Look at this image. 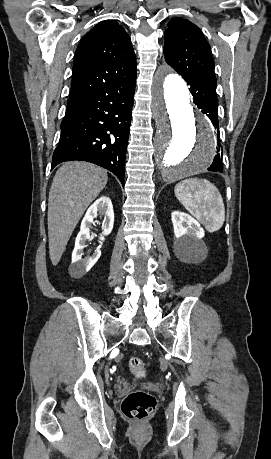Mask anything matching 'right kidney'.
Returning <instances> with one entry per match:
<instances>
[{"mask_svg":"<svg viewBox=\"0 0 271 459\" xmlns=\"http://www.w3.org/2000/svg\"><path fill=\"white\" fill-rule=\"evenodd\" d=\"M96 216H104L101 226L103 231L99 237L101 239L100 243H102L105 239L104 235L111 233L114 224L113 206L108 196H101L99 200H96L88 208L82 220L80 231L75 239V247L72 251V261L69 265V273L72 277H83L101 255L100 247H96L93 255H85L83 251L84 247H87L86 243L88 239H90V228H93L91 224H95L93 220Z\"/></svg>","mask_w":271,"mask_h":459,"instance_id":"right-kidney-1","label":"right kidney"}]
</instances>
